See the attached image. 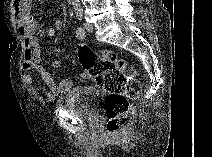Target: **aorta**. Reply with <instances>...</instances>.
I'll return each instance as SVG.
<instances>
[{
    "instance_id": "aorta-1",
    "label": "aorta",
    "mask_w": 212,
    "mask_h": 157,
    "mask_svg": "<svg viewBox=\"0 0 212 157\" xmlns=\"http://www.w3.org/2000/svg\"><path fill=\"white\" fill-rule=\"evenodd\" d=\"M78 2H79V0H76V1H75V4L77 5V4H78Z\"/></svg>"
}]
</instances>
